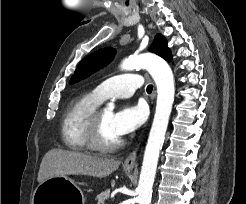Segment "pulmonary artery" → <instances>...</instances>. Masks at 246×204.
I'll return each instance as SVG.
<instances>
[{
  "label": "pulmonary artery",
  "instance_id": "1",
  "mask_svg": "<svg viewBox=\"0 0 246 204\" xmlns=\"http://www.w3.org/2000/svg\"><path fill=\"white\" fill-rule=\"evenodd\" d=\"M142 85L143 77L140 74L125 73L106 79L92 93L101 101L108 98H128Z\"/></svg>",
  "mask_w": 246,
  "mask_h": 204
}]
</instances>
